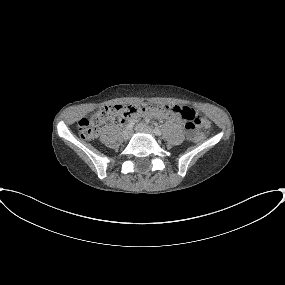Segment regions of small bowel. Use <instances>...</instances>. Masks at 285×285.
I'll return each instance as SVG.
<instances>
[{
    "label": "small bowel",
    "mask_w": 285,
    "mask_h": 285,
    "mask_svg": "<svg viewBox=\"0 0 285 285\" xmlns=\"http://www.w3.org/2000/svg\"><path fill=\"white\" fill-rule=\"evenodd\" d=\"M188 109L189 111H193L189 108H186ZM157 117L160 118V119H171L173 121H176V122H180V123H184V111L182 110V108L180 107V110L176 111V112H170V111H166V112H162V113H158L157 114ZM130 121L134 122L135 120L134 119H131Z\"/></svg>",
    "instance_id": "c3829d8e"
}]
</instances>
